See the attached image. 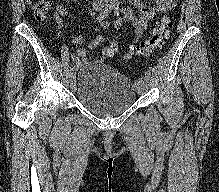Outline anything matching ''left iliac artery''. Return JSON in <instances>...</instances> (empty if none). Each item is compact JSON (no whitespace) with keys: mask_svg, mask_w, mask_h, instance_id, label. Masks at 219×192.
<instances>
[{"mask_svg":"<svg viewBox=\"0 0 219 192\" xmlns=\"http://www.w3.org/2000/svg\"><path fill=\"white\" fill-rule=\"evenodd\" d=\"M117 9H118V8H117ZM116 14H117V16L119 15L118 12H116ZM145 76L150 77V76H151V72H150V71H146V72H145Z\"/></svg>","mask_w":219,"mask_h":192,"instance_id":"left-iliac-artery-1","label":"left iliac artery"}]
</instances>
